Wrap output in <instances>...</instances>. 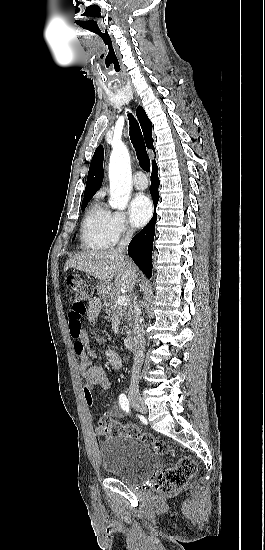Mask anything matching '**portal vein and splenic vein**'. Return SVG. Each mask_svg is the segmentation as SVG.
Here are the masks:
<instances>
[{"label":"portal vein and splenic vein","instance_id":"obj_1","mask_svg":"<svg viewBox=\"0 0 265 550\" xmlns=\"http://www.w3.org/2000/svg\"><path fill=\"white\" fill-rule=\"evenodd\" d=\"M130 303V298L127 295L119 296L117 299L118 305H128Z\"/></svg>","mask_w":265,"mask_h":550}]
</instances>
